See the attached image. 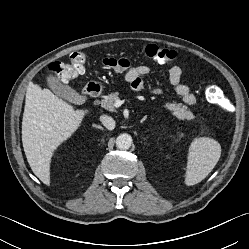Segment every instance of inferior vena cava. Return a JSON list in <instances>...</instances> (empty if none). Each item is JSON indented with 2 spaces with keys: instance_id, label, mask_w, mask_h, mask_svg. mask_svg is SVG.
Listing matches in <instances>:
<instances>
[{
  "instance_id": "obj_1",
  "label": "inferior vena cava",
  "mask_w": 249,
  "mask_h": 249,
  "mask_svg": "<svg viewBox=\"0 0 249 249\" xmlns=\"http://www.w3.org/2000/svg\"><path fill=\"white\" fill-rule=\"evenodd\" d=\"M100 121L108 130H113L115 128L114 119L108 115H101Z\"/></svg>"
}]
</instances>
